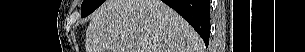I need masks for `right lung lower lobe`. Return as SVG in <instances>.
<instances>
[{
    "label": "right lung lower lobe",
    "instance_id": "obj_1",
    "mask_svg": "<svg viewBox=\"0 0 305 52\" xmlns=\"http://www.w3.org/2000/svg\"><path fill=\"white\" fill-rule=\"evenodd\" d=\"M176 10L209 43L210 0H162Z\"/></svg>",
    "mask_w": 305,
    "mask_h": 52
}]
</instances>
